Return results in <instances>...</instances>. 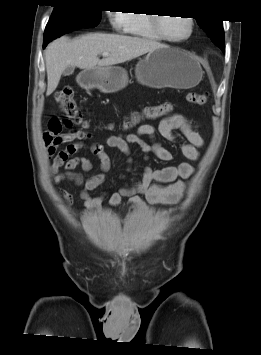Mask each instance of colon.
Masks as SVG:
<instances>
[{
	"instance_id": "obj_1",
	"label": "colon",
	"mask_w": 261,
	"mask_h": 355,
	"mask_svg": "<svg viewBox=\"0 0 261 355\" xmlns=\"http://www.w3.org/2000/svg\"><path fill=\"white\" fill-rule=\"evenodd\" d=\"M55 100L60 106L62 115L66 118L65 124H75L86 126V122L83 119L81 110L78 107L76 100L74 99L73 90L71 87H64L55 93ZM188 100L195 106H203L207 103L208 96L206 93H190ZM171 106L168 103H163L154 106H148L143 110L142 115L149 119H155L162 116H166L170 113ZM139 120V116H134L127 122L126 127H131ZM49 127L53 131H59L61 129V122L59 119H52L49 122Z\"/></svg>"
}]
</instances>
